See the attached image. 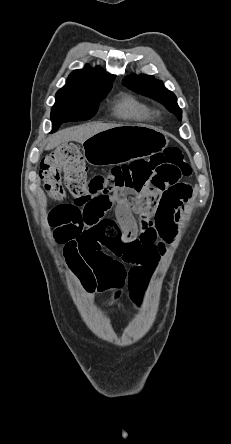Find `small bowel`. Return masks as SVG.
<instances>
[{"instance_id": "c3829d8e", "label": "small bowel", "mask_w": 231, "mask_h": 444, "mask_svg": "<svg viewBox=\"0 0 231 444\" xmlns=\"http://www.w3.org/2000/svg\"><path fill=\"white\" fill-rule=\"evenodd\" d=\"M102 183L95 175L90 187L96 189ZM190 196L191 188L185 183L175 187L152 183L145 190H121L109 197L92 194L62 204L69 220L55 228V239L65 252L79 255L80 265L71 270L88 293L127 285L138 296L165 245L174 240L182 206ZM111 209L116 220L106 216Z\"/></svg>"}]
</instances>
